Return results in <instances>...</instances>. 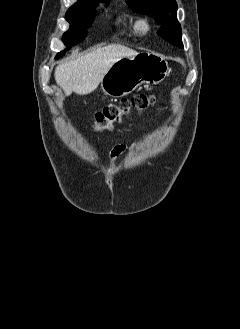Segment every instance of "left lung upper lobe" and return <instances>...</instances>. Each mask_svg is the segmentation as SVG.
<instances>
[{
	"label": "left lung upper lobe",
	"instance_id": "5c2ea615",
	"mask_svg": "<svg viewBox=\"0 0 240 329\" xmlns=\"http://www.w3.org/2000/svg\"><path fill=\"white\" fill-rule=\"evenodd\" d=\"M127 4L135 12L151 15L161 24L158 35L175 46L183 47L175 0H127Z\"/></svg>",
	"mask_w": 240,
	"mask_h": 329
}]
</instances>
